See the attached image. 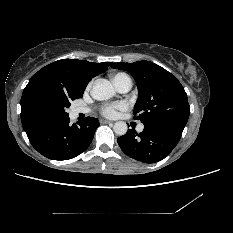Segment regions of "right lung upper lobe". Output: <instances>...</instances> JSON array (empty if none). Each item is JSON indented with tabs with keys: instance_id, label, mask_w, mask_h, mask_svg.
<instances>
[{
	"instance_id": "right-lung-upper-lobe-1",
	"label": "right lung upper lobe",
	"mask_w": 233,
	"mask_h": 233,
	"mask_svg": "<svg viewBox=\"0 0 233 233\" xmlns=\"http://www.w3.org/2000/svg\"><path fill=\"white\" fill-rule=\"evenodd\" d=\"M110 62L62 59L35 73L21 97V121L27 136L59 121L47 109L50 98L83 96L88 82L106 71Z\"/></svg>"
}]
</instances>
